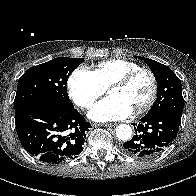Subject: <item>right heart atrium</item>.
Instances as JSON below:
<instances>
[{"label":"right heart atrium","mask_w":196,"mask_h":196,"mask_svg":"<svg viewBox=\"0 0 196 196\" xmlns=\"http://www.w3.org/2000/svg\"><path fill=\"white\" fill-rule=\"evenodd\" d=\"M68 91L70 98L77 106L88 109L105 93V88L93 71L79 67L68 79Z\"/></svg>","instance_id":"1"}]
</instances>
